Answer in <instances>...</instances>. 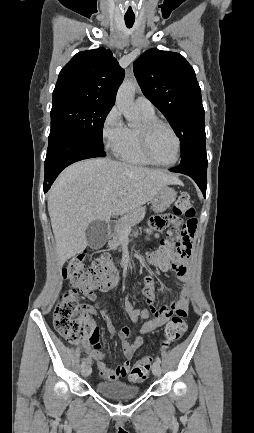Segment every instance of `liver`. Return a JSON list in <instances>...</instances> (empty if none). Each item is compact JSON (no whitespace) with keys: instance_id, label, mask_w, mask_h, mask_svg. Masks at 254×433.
<instances>
[{"instance_id":"liver-1","label":"liver","mask_w":254,"mask_h":433,"mask_svg":"<svg viewBox=\"0 0 254 433\" xmlns=\"http://www.w3.org/2000/svg\"><path fill=\"white\" fill-rule=\"evenodd\" d=\"M180 180L160 169H148L107 158L88 159L65 169L50 189L48 212L62 266L87 247L86 229L94 220L128 213ZM124 195L119 197L118 193Z\"/></svg>"}]
</instances>
